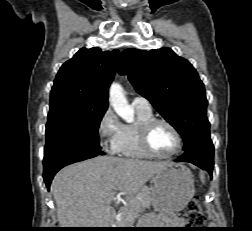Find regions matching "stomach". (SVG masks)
Returning a JSON list of instances; mask_svg holds the SVG:
<instances>
[{
    "mask_svg": "<svg viewBox=\"0 0 252 231\" xmlns=\"http://www.w3.org/2000/svg\"><path fill=\"white\" fill-rule=\"evenodd\" d=\"M152 182V206L158 212H179L195 194L191 171L183 165L166 168Z\"/></svg>",
    "mask_w": 252,
    "mask_h": 231,
    "instance_id": "0dacf381",
    "label": "stomach"
}]
</instances>
